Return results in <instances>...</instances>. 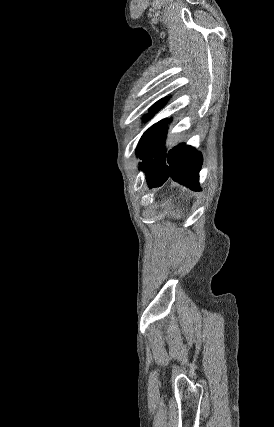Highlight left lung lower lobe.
Wrapping results in <instances>:
<instances>
[{
    "instance_id": "0a47b994",
    "label": "left lung lower lobe",
    "mask_w": 274,
    "mask_h": 427,
    "mask_svg": "<svg viewBox=\"0 0 274 427\" xmlns=\"http://www.w3.org/2000/svg\"><path fill=\"white\" fill-rule=\"evenodd\" d=\"M166 122L161 120L148 130L137 153L143 160L140 168L147 172L148 185L159 187L171 177L192 190H200L198 173L202 165V156L193 147L184 144L173 147L166 154L164 146Z\"/></svg>"
}]
</instances>
